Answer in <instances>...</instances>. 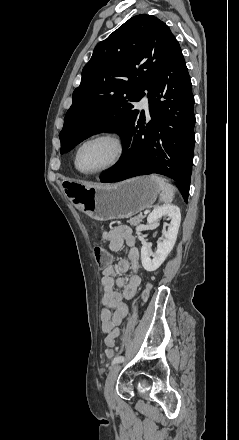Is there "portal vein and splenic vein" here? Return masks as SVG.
<instances>
[{
  "label": "portal vein and splenic vein",
  "instance_id": "18ae733b",
  "mask_svg": "<svg viewBox=\"0 0 239 440\" xmlns=\"http://www.w3.org/2000/svg\"><path fill=\"white\" fill-rule=\"evenodd\" d=\"M148 212H149V209H145L144 214H145V215H148Z\"/></svg>",
  "mask_w": 239,
  "mask_h": 440
}]
</instances>
